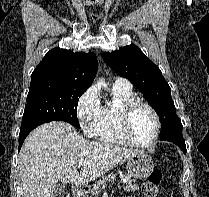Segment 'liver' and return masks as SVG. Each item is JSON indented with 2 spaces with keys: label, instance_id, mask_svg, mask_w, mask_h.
Returning a JSON list of instances; mask_svg holds the SVG:
<instances>
[{
  "label": "liver",
  "instance_id": "liver-1",
  "mask_svg": "<svg viewBox=\"0 0 209 197\" xmlns=\"http://www.w3.org/2000/svg\"><path fill=\"white\" fill-rule=\"evenodd\" d=\"M138 152L88 141L66 122L42 124L28 135L19 154L24 197H54L58 180L86 184ZM80 159H84L85 164L78 172Z\"/></svg>",
  "mask_w": 209,
  "mask_h": 197
}]
</instances>
